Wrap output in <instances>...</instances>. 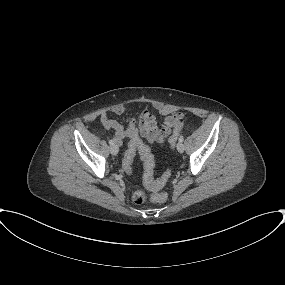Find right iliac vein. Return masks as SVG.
<instances>
[{
    "label": "right iliac vein",
    "mask_w": 285,
    "mask_h": 285,
    "mask_svg": "<svg viewBox=\"0 0 285 285\" xmlns=\"http://www.w3.org/2000/svg\"><path fill=\"white\" fill-rule=\"evenodd\" d=\"M110 152L112 155H117L118 152H119V147L118 145L114 144V145H111L110 147Z\"/></svg>",
    "instance_id": "63e3f726"
}]
</instances>
